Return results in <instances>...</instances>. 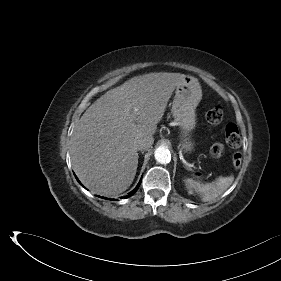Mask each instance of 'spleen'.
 Instances as JSON below:
<instances>
[{
    "label": "spleen",
    "instance_id": "spleen-1",
    "mask_svg": "<svg viewBox=\"0 0 281 281\" xmlns=\"http://www.w3.org/2000/svg\"><path fill=\"white\" fill-rule=\"evenodd\" d=\"M234 176L219 177L212 183H199L192 179H186L185 185L188 190L197 191L202 198L203 202H212L218 196L223 194L233 183Z\"/></svg>",
    "mask_w": 281,
    "mask_h": 281
}]
</instances>
